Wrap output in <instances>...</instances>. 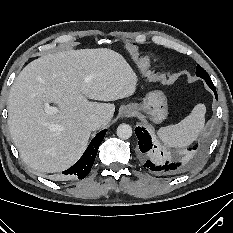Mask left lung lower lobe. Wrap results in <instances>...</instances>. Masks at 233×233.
<instances>
[{
	"label": "left lung lower lobe",
	"mask_w": 233,
	"mask_h": 233,
	"mask_svg": "<svg viewBox=\"0 0 233 233\" xmlns=\"http://www.w3.org/2000/svg\"><path fill=\"white\" fill-rule=\"evenodd\" d=\"M201 78L206 81L207 85L213 90L214 94H216V88L213 82L210 80L209 75L202 76ZM135 133L139 139L138 143L140 151L147 156L144 163V168L156 174L170 175L176 172L177 168L179 167V163L164 161L162 159L163 152L160 153L157 147L152 144L151 137L145 128L137 127L135 128ZM193 149H196V147H193ZM188 150L191 151V148Z\"/></svg>",
	"instance_id": "obj_1"
}]
</instances>
